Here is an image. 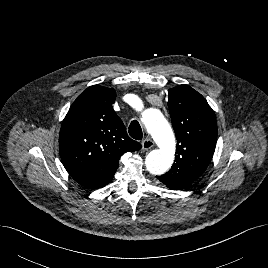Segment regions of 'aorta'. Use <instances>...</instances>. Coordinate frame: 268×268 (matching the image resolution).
<instances>
[{"label":"aorta","mask_w":268,"mask_h":268,"mask_svg":"<svg viewBox=\"0 0 268 268\" xmlns=\"http://www.w3.org/2000/svg\"><path fill=\"white\" fill-rule=\"evenodd\" d=\"M141 120L159 146V149L150 151L146 156V168L151 174H164L174 161L176 142L173 131L163 114L157 109L144 111Z\"/></svg>","instance_id":"1"}]
</instances>
